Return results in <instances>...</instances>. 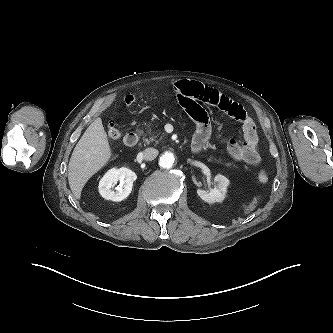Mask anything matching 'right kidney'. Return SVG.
Masks as SVG:
<instances>
[{"mask_svg":"<svg viewBox=\"0 0 333 333\" xmlns=\"http://www.w3.org/2000/svg\"><path fill=\"white\" fill-rule=\"evenodd\" d=\"M137 175L128 168L110 169L99 182V193L106 200L122 201L131 193ZM120 184L115 188L117 182Z\"/></svg>","mask_w":333,"mask_h":333,"instance_id":"right-kidney-1","label":"right kidney"}]
</instances>
